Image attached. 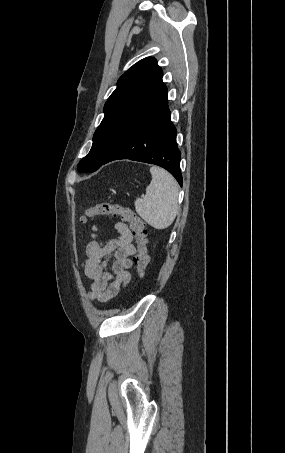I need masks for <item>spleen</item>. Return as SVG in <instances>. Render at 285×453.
I'll list each match as a JSON object with an SVG mask.
<instances>
[{
  "instance_id": "spleen-1",
  "label": "spleen",
  "mask_w": 285,
  "mask_h": 453,
  "mask_svg": "<svg viewBox=\"0 0 285 453\" xmlns=\"http://www.w3.org/2000/svg\"><path fill=\"white\" fill-rule=\"evenodd\" d=\"M152 180L143 198L134 202L137 214L155 229H165L178 213V184L174 177L156 166L150 168Z\"/></svg>"
}]
</instances>
